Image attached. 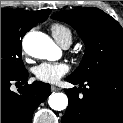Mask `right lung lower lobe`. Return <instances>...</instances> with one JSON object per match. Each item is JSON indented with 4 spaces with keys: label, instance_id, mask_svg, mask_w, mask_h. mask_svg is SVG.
<instances>
[{
    "label": "right lung lower lobe",
    "instance_id": "right-lung-lower-lobe-1",
    "mask_svg": "<svg viewBox=\"0 0 123 123\" xmlns=\"http://www.w3.org/2000/svg\"><path fill=\"white\" fill-rule=\"evenodd\" d=\"M27 78V71L16 76L1 77V123H31L35 109L51 94L49 84L35 81L29 85L25 83ZM13 81L24 84L18 93L10 89Z\"/></svg>",
    "mask_w": 123,
    "mask_h": 123
}]
</instances>
